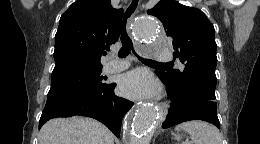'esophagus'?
I'll use <instances>...</instances> for the list:
<instances>
[{
	"mask_svg": "<svg viewBox=\"0 0 260 144\" xmlns=\"http://www.w3.org/2000/svg\"><path fill=\"white\" fill-rule=\"evenodd\" d=\"M132 19H133V17H131V18L128 19V22H127V30H128V31H129V28H130V24H131V22H132Z\"/></svg>",
	"mask_w": 260,
	"mask_h": 144,
	"instance_id": "esophagus-1",
	"label": "esophagus"
}]
</instances>
